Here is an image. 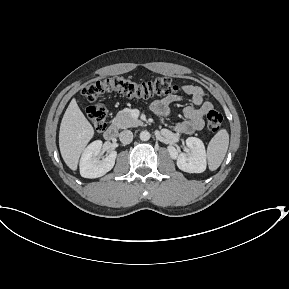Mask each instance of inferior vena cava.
Listing matches in <instances>:
<instances>
[{
  "instance_id": "602c4592",
  "label": "inferior vena cava",
  "mask_w": 289,
  "mask_h": 289,
  "mask_svg": "<svg viewBox=\"0 0 289 289\" xmlns=\"http://www.w3.org/2000/svg\"><path fill=\"white\" fill-rule=\"evenodd\" d=\"M119 139L123 144H129L133 140V133L130 130H124L119 134Z\"/></svg>"
}]
</instances>
